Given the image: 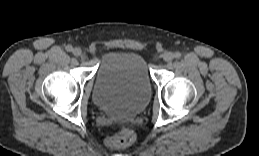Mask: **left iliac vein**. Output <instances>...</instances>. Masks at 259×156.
Segmentation results:
<instances>
[{
    "label": "left iliac vein",
    "instance_id": "1",
    "mask_svg": "<svg viewBox=\"0 0 259 156\" xmlns=\"http://www.w3.org/2000/svg\"><path fill=\"white\" fill-rule=\"evenodd\" d=\"M165 62H171L174 59V54L171 52H166L163 56Z\"/></svg>",
    "mask_w": 259,
    "mask_h": 156
}]
</instances>
